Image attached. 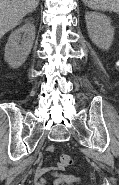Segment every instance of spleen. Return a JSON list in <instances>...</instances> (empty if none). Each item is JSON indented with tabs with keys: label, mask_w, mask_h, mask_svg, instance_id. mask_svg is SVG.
Returning a JSON list of instances; mask_svg holds the SVG:
<instances>
[{
	"label": "spleen",
	"mask_w": 119,
	"mask_h": 185,
	"mask_svg": "<svg viewBox=\"0 0 119 185\" xmlns=\"http://www.w3.org/2000/svg\"><path fill=\"white\" fill-rule=\"evenodd\" d=\"M94 10L113 11L119 13V0H82Z\"/></svg>",
	"instance_id": "3e777b00"
}]
</instances>
